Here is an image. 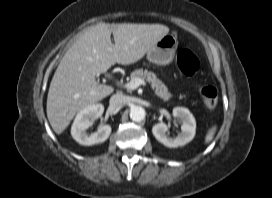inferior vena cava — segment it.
I'll use <instances>...</instances> for the list:
<instances>
[{
    "mask_svg": "<svg viewBox=\"0 0 272 198\" xmlns=\"http://www.w3.org/2000/svg\"><path fill=\"white\" fill-rule=\"evenodd\" d=\"M126 102L127 97L122 93L114 94L110 98V105L115 108L123 106Z\"/></svg>",
    "mask_w": 272,
    "mask_h": 198,
    "instance_id": "obj_1",
    "label": "inferior vena cava"
}]
</instances>
